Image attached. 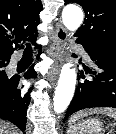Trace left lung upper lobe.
<instances>
[{
    "mask_svg": "<svg viewBox=\"0 0 116 134\" xmlns=\"http://www.w3.org/2000/svg\"><path fill=\"white\" fill-rule=\"evenodd\" d=\"M78 3L85 12L84 25L75 35L76 42L116 52V0H65Z\"/></svg>",
    "mask_w": 116,
    "mask_h": 134,
    "instance_id": "left-lung-upper-lobe-1",
    "label": "left lung upper lobe"
}]
</instances>
